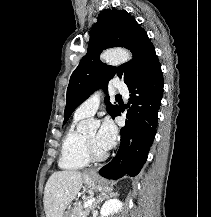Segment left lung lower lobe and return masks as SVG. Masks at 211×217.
Here are the masks:
<instances>
[{
  "label": "left lung lower lobe",
  "instance_id": "left-lung-lower-lobe-1",
  "mask_svg": "<svg viewBox=\"0 0 211 217\" xmlns=\"http://www.w3.org/2000/svg\"><path fill=\"white\" fill-rule=\"evenodd\" d=\"M161 65L141 76L128 86L130 94L125 126L116 156L102 167L99 174L108 179L136 176L146 162L156 133L157 112L163 96ZM121 115V111L116 116Z\"/></svg>",
  "mask_w": 211,
  "mask_h": 217
}]
</instances>
